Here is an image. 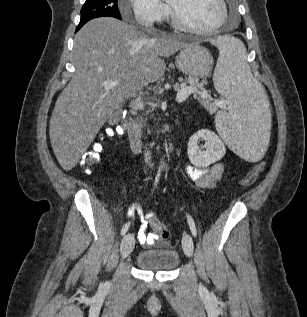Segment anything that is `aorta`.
Instances as JSON below:
<instances>
[{"instance_id": "obj_1", "label": "aorta", "mask_w": 307, "mask_h": 317, "mask_svg": "<svg viewBox=\"0 0 307 317\" xmlns=\"http://www.w3.org/2000/svg\"><path fill=\"white\" fill-rule=\"evenodd\" d=\"M161 163H163V164L165 163V162H164V157L162 158V161H161Z\"/></svg>"}]
</instances>
